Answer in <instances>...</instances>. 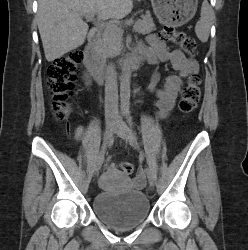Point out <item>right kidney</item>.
Here are the masks:
<instances>
[{
	"label": "right kidney",
	"mask_w": 248,
	"mask_h": 250,
	"mask_svg": "<svg viewBox=\"0 0 248 250\" xmlns=\"http://www.w3.org/2000/svg\"><path fill=\"white\" fill-rule=\"evenodd\" d=\"M88 78H89L88 75H86V80H87L86 84H87V85L90 84V80H88Z\"/></svg>",
	"instance_id": "1"
}]
</instances>
